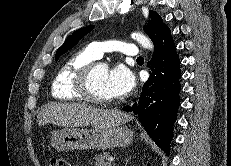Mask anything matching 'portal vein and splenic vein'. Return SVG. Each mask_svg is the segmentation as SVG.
<instances>
[{"mask_svg":"<svg viewBox=\"0 0 231 166\" xmlns=\"http://www.w3.org/2000/svg\"><path fill=\"white\" fill-rule=\"evenodd\" d=\"M113 161H114V158H113V157H109V158H108V162L113 163Z\"/></svg>","mask_w":231,"mask_h":166,"instance_id":"obj_1","label":"portal vein and splenic vein"}]
</instances>
